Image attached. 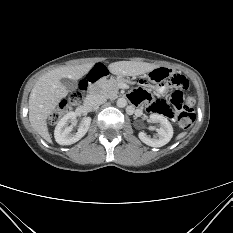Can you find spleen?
I'll use <instances>...</instances> for the list:
<instances>
[{"instance_id":"spleen-1","label":"spleen","mask_w":233,"mask_h":233,"mask_svg":"<svg viewBox=\"0 0 233 233\" xmlns=\"http://www.w3.org/2000/svg\"><path fill=\"white\" fill-rule=\"evenodd\" d=\"M185 135H186V132H182L176 137V139L177 140L182 139L183 137H185Z\"/></svg>"}]
</instances>
